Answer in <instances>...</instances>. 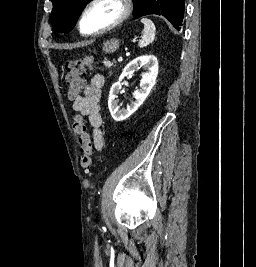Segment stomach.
<instances>
[{"label":"stomach","mask_w":256,"mask_h":267,"mask_svg":"<svg viewBox=\"0 0 256 267\" xmlns=\"http://www.w3.org/2000/svg\"><path fill=\"white\" fill-rule=\"evenodd\" d=\"M120 42L119 40H116V38H112V40H106L102 46L103 52L105 54H112V52H116V50H119Z\"/></svg>","instance_id":"0dacf381"}]
</instances>
